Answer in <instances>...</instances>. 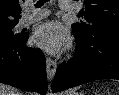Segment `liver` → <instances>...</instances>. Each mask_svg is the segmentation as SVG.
<instances>
[{
	"label": "liver",
	"mask_w": 119,
	"mask_h": 95,
	"mask_svg": "<svg viewBox=\"0 0 119 95\" xmlns=\"http://www.w3.org/2000/svg\"><path fill=\"white\" fill-rule=\"evenodd\" d=\"M0 95H23L19 90L0 83Z\"/></svg>",
	"instance_id": "obj_1"
}]
</instances>
